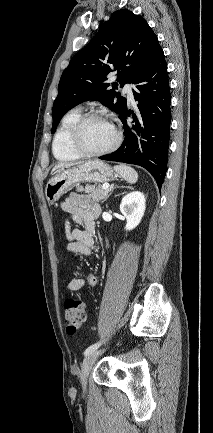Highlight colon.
I'll return each mask as SVG.
<instances>
[{
	"instance_id": "obj_1",
	"label": "colon",
	"mask_w": 213,
	"mask_h": 433,
	"mask_svg": "<svg viewBox=\"0 0 213 433\" xmlns=\"http://www.w3.org/2000/svg\"><path fill=\"white\" fill-rule=\"evenodd\" d=\"M64 319L69 334H74L79 330L86 321L83 302L77 298H67L64 302Z\"/></svg>"
}]
</instances>
